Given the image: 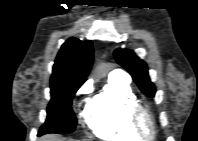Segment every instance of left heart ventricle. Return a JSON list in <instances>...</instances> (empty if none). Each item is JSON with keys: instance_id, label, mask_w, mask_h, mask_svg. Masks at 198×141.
Returning a JSON list of instances; mask_svg holds the SVG:
<instances>
[{"instance_id": "obj_1", "label": "left heart ventricle", "mask_w": 198, "mask_h": 141, "mask_svg": "<svg viewBox=\"0 0 198 141\" xmlns=\"http://www.w3.org/2000/svg\"><path fill=\"white\" fill-rule=\"evenodd\" d=\"M143 126H144V128H145L146 130H149V126H148V124H147L145 121H143Z\"/></svg>"}]
</instances>
